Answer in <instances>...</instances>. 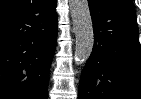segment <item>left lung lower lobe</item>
Wrapping results in <instances>:
<instances>
[{"label":"left lung lower lobe","instance_id":"obj_1","mask_svg":"<svg viewBox=\"0 0 141 99\" xmlns=\"http://www.w3.org/2000/svg\"><path fill=\"white\" fill-rule=\"evenodd\" d=\"M93 51L78 99H141V48L133 3L89 0Z\"/></svg>","mask_w":141,"mask_h":99}]
</instances>
